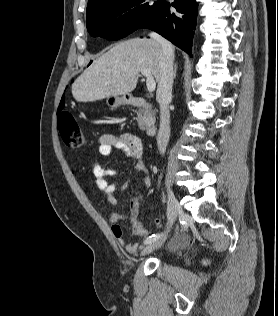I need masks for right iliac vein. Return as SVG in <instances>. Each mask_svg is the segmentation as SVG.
<instances>
[{"instance_id":"right-iliac-vein-1","label":"right iliac vein","mask_w":278,"mask_h":316,"mask_svg":"<svg viewBox=\"0 0 278 316\" xmlns=\"http://www.w3.org/2000/svg\"><path fill=\"white\" fill-rule=\"evenodd\" d=\"M181 207L172 192L171 189H168V227L171 228L174 224L177 215L180 213ZM168 232L162 235L160 238L156 239L155 241L149 243L145 246L142 250V255H146L158 249L167 239Z\"/></svg>"}]
</instances>
